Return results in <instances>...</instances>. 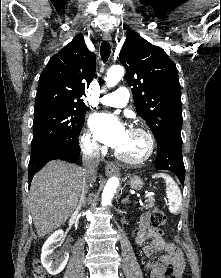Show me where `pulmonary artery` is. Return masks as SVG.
<instances>
[{"label": "pulmonary artery", "mask_w": 221, "mask_h": 278, "mask_svg": "<svg viewBox=\"0 0 221 278\" xmlns=\"http://www.w3.org/2000/svg\"><path fill=\"white\" fill-rule=\"evenodd\" d=\"M129 100V91L125 87L118 88L115 92L104 95L100 103L111 107H124Z\"/></svg>", "instance_id": "pulmonary-artery-1"}]
</instances>
